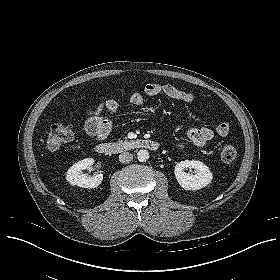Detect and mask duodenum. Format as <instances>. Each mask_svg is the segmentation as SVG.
Masks as SVG:
<instances>
[{"mask_svg":"<svg viewBox=\"0 0 280 280\" xmlns=\"http://www.w3.org/2000/svg\"><path fill=\"white\" fill-rule=\"evenodd\" d=\"M136 149L157 151L159 149V143L151 139H135L125 143H101L96 148L97 152L102 155H117Z\"/></svg>","mask_w":280,"mask_h":280,"instance_id":"obj_1","label":"duodenum"}]
</instances>
